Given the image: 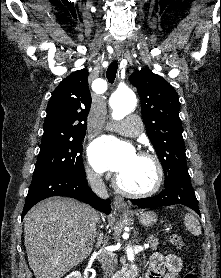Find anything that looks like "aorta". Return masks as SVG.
<instances>
[{
	"mask_svg": "<svg viewBox=\"0 0 221 278\" xmlns=\"http://www.w3.org/2000/svg\"><path fill=\"white\" fill-rule=\"evenodd\" d=\"M135 93L127 89L121 92H115L110 98V105L113 110L112 117L114 120H121L126 115L131 113L136 107ZM127 258L130 261L134 260V254L131 247H127Z\"/></svg>",
	"mask_w": 221,
	"mask_h": 278,
	"instance_id": "762f6f07",
	"label": "aorta"
}]
</instances>
